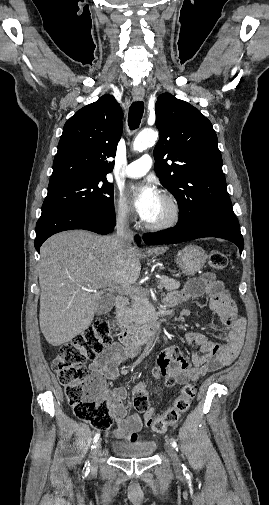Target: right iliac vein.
<instances>
[{"instance_id": "obj_1", "label": "right iliac vein", "mask_w": 269, "mask_h": 505, "mask_svg": "<svg viewBox=\"0 0 269 505\" xmlns=\"http://www.w3.org/2000/svg\"><path fill=\"white\" fill-rule=\"evenodd\" d=\"M100 453H101V442L99 441L96 443V445L92 451V461H91V467H90L91 473H94L97 469V462H98V458L100 456Z\"/></svg>"}]
</instances>
